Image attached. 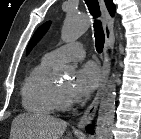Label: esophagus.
Wrapping results in <instances>:
<instances>
[{"instance_id":"34e87169","label":"esophagus","mask_w":141,"mask_h":139,"mask_svg":"<svg viewBox=\"0 0 141 139\" xmlns=\"http://www.w3.org/2000/svg\"><path fill=\"white\" fill-rule=\"evenodd\" d=\"M100 5L102 10L103 28L105 32V52L102 65L101 82L93 101L85 110L84 114L81 116L80 120L77 123V127L79 129L85 128V126L88 125L95 117L110 75V52L112 51L114 46L113 18L110 16L105 6L104 0H100Z\"/></svg>"}]
</instances>
